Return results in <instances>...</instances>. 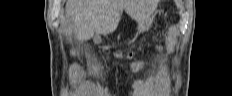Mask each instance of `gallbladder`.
I'll return each instance as SVG.
<instances>
[{
	"mask_svg": "<svg viewBox=\"0 0 232 96\" xmlns=\"http://www.w3.org/2000/svg\"><path fill=\"white\" fill-rule=\"evenodd\" d=\"M94 41H95V42H99V41H100V37H99V36H96V37L94 38Z\"/></svg>",
	"mask_w": 232,
	"mask_h": 96,
	"instance_id": "gallbladder-1",
	"label": "gallbladder"
}]
</instances>
